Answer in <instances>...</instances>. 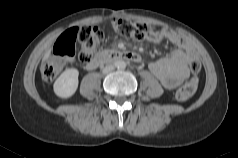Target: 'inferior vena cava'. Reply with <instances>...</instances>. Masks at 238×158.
I'll list each match as a JSON object with an SVG mask.
<instances>
[{"label": "inferior vena cava", "mask_w": 238, "mask_h": 158, "mask_svg": "<svg viewBox=\"0 0 238 158\" xmlns=\"http://www.w3.org/2000/svg\"><path fill=\"white\" fill-rule=\"evenodd\" d=\"M113 70H114V66L110 64V65H107V66L104 67L103 72L104 73H109Z\"/></svg>", "instance_id": "1"}]
</instances>
